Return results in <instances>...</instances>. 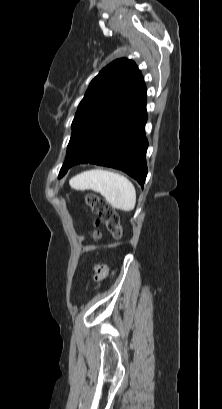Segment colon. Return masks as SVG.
I'll return each mask as SVG.
<instances>
[{
    "label": "colon",
    "mask_w": 222,
    "mask_h": 409,
    "mask_svg": "<svg viewBox=\"0 0 222 409\" xmlns=\"http://www.w3.org/2000/svg\"><path fill=\"white\" fill-rule=\"evenodd\" d=\"M86 203L91 208L98 222H103L110 234L115 239H120L123 229L115 209L97 194L90 193L86 196ZM94 237H98V232H94Z\"/></svg>",
    "instance_id": "colon-1"
}]
</instances>
